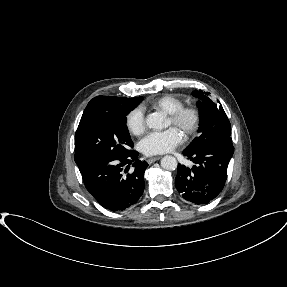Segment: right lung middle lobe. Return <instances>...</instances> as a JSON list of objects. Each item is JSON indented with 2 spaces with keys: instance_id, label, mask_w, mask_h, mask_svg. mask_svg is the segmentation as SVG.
Returning a JSON list of instances; mask_svg holds the SVG:
<instances>
[{
  "instance_id": "1",
  "label": "right lung middle lobe",
  "mask_w": 287,
  "mask_h": 287,
  "mask_svg": "<svg viewBox=\"0 0 287 287\" xmlns=\"http://www.w3.org/2000/svg\"><path fill=\"white\" fill-rule=\"evenodd\" d=\"M143 97H135L104 108L75 134V162L82 171L94 161L129 155L133 150L126 116Z\"/></svg>"
}]
</instances>
